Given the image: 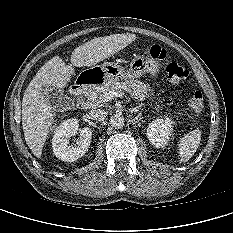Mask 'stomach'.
I'll return each instance as SVG.
<instances>
[{
	"label": "stomach",
	"instance_id": "obj_1",
	"mask_svg": "<svg viewBox=\"0 0 233 233\" xmlns=\"http://www.w3.org/2000/svg\"><path fill=\"white\" fill-rule=\"evenodd\" d=\"M158 71L159 65L154 59L148 56H136L130 61L128 68L114 62H105L102 65L85 70L81 75L94 79L97 83H105L139 78L146 73L156 77Z\"/></svg>",
	"mask_w": 233,
	"mask_h": 233
}]
</instances>
